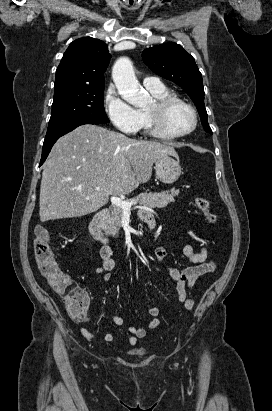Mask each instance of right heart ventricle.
Wrapping results in <instances>:
<instances>
[{
    "label": "right heart ventricle",
    "mask_w": 272,
    "mask_h": 411,
    "mask_svg": "<svg viewBox=\"0 0 272 411\" xmlns=\"http://www.w3.org/2000/svg\"><path fill=\"white\" fill-rule=\"evenodd\" d=\"M149 90V92L156 98V99H161V98H165L168 96H171V93L169 92V90L163 86L161 88H147ZM141 113V128L145 129V130H149V123H148V119L146 116V112H140Z\"/></svg>",
    "instance_id": "right-heart-ventricle-1"
}]
</instances>
